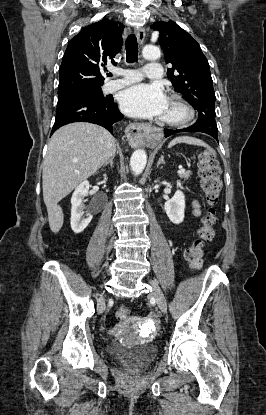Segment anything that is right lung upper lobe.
I'll list each match as a JSON object with an SVG mask.
<instances>
[{"mask_svg": "<svg viewBox=\"0 0 266 415\" xmlns=\"http://www.w3.org/2000/svg\"><path fill=\"white\" fill-rule=\"evenodd\" d=\"M123 25L102 19L83 28L68 43L60 71L58 94L101 87V72L107 64L116 65L115 55L122 47Z\"/></svg>", "mask_w": 266, "mask_h": 415, "instance_id": "obj_1", "label": "right lung upper lobe"}]
</instances>
